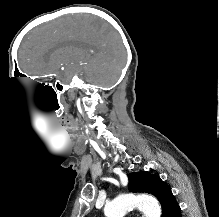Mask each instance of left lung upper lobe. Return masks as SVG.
Masks as SVG:
<instances>
[{"mask_svg":"<svg viewBox=\"0 0 219 217\" xmlns=\"http://www.w3.org/2000/svg\"><path fill=\"white\" fill-rule=\"evenodd\" d=\"M127 176L129 178V191L146 192L157 197L162 207L161 217H166L170 206L176 202L170 187L158 175L146 171L134 172Z\"/></svg>","mask_w":219,"mask_h":217,"instance_id":"5c2ea615","label":"left lung upper lobe"}]
</instances>
